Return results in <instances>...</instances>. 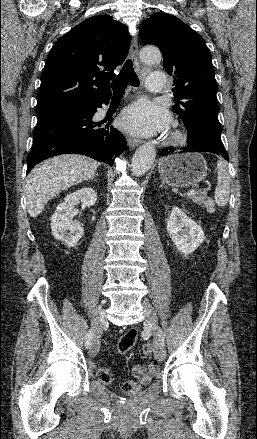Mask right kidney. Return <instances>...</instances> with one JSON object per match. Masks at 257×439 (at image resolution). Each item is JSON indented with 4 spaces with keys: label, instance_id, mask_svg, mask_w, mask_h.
Instances as JSON below:
<instances>
[{
    "label": "right kidney",
    "instance_id": "1",
    "mask_svg": "<svg viewBox=\"0 0 257 439\" xmlns=\"http://www.w3.org/2000/svg\"><path fill=\"white\" fill-rule=\"evenodd\" d=\"M97 195L92 188L84 187L67 195L63 202H60L51 217V229L54 238L61 240L68 247H73L84 234V229L79 222H72L71 217L75 211L74 206L81 202L84 207H91L95 204Z\"/></svg>",
    "mask_w": 257,
    "mask_h": 439
}]
</instances>
